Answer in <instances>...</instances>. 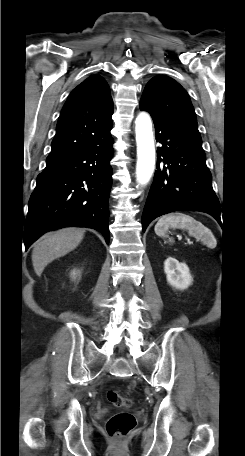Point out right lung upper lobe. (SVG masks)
<instances>
[{"label":"right lung upper lobe","instance_id":"1","mask_svg":"<svg viewBox=\"0 0 245 456\" xmlns=\"http://www.w3.org/2000/svg\"><path fill=\"white\" fill-rule=\"evenodd\" d=\"M113 102L107 82L93 75L79 84L64 104L46 164L66 159L112 128Z\"/></svg>","mask_w":245,"mask_h":456}]
</instances>
